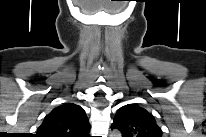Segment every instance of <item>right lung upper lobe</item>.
I'll use <instances>...</instances> for the list:
<instances>
[{
    "instance_id": "obj_1",
    "label": "right lung upper lobe",
    "mask_w": 206,
    "mask_h": 137,
    "mask_svg": "<svg viewBox=\"0 0 206 137\" xmlns=\"http://www.w3.org/2000/svg\"><path fill=\"white\" fill-rule=\"evenodd\" d=\"M90 124L79 105L66 103L54 108L37 130L39 137H88Z\"/></svg>"
}]
</instances>
